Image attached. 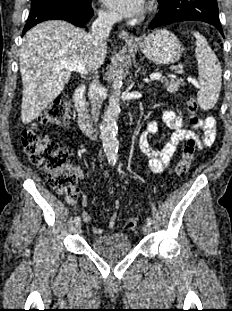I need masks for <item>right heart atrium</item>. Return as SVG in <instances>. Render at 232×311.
<instances>
[{"label": "right heart atrium", "instance_id": "1", "mask_svg": "<svg viewBox=\"0 0 232 311\" xmlns=\"http://www.w3.org/2000/svg\"><path fill=\"white\" fill-rule=\"evenodd\" d=\"M99 19L105 23H110L115 20V15L106 9H101L99 11Z\"/></svg>", "mask_w": 232, "mask_h": 311}]
</instances>
